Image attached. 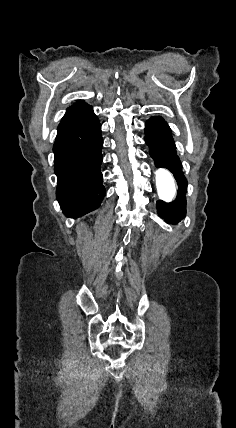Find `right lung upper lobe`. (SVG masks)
Wrapping results in <instances>:
<instances>
[{
    "label": "right lung upper lobe",
    "mask_w": 236,
    "mask_h": 428,
    "mask_svg": "<svg viewBox=\"0 0 236 428\" xmlns=\"http://www.w3.org/2000/svg\"><path fill=\"white\" fill-rule=\"evenodd\" d=\"M86 103L83 101H78L76 104H74L73 106H80V105H85Z\"/></svg>",
    "instance_id": "cb5924a9"
}]
</instances>
